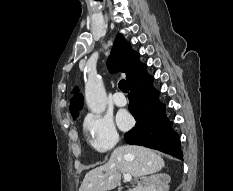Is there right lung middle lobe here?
Instances as JSON below:
<instances>
[{
    "instance_id": "obj_1",
    "label": "right lung middle lobe",
    "mask_w": 233,
    "mask_h": 191,
    "mask_svg": "<svg viewBox=\"0 0 233 191\" xmlns=\"http://www.w3.org/2000/svg\"><path fill=\"white\" fill-rule=\"evenodd\" d=\"M74 119H76V117L78 116V114L72 115Z\"/></svg>"
}]
</instances>
